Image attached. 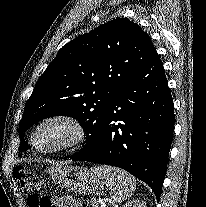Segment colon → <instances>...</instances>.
Returning <instances> with one entry per match:
<instances>
[{"label":"colon","instance_id":"obj_1","mask_svg":"<svg viewBox=\"0 0 206 207\" xmlns=\"http://www.w3.org/2000/svg\"><path fill=\"white\" fill-rule=\"evenodd\" d=\"M14 176L23 193L27 195L29 207H53V203L48 197L39 194L41 181L37 175L24 167H16Z\"/></svg>","mask_w":206,"mask_h":207}]
</instances>
